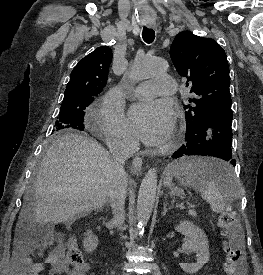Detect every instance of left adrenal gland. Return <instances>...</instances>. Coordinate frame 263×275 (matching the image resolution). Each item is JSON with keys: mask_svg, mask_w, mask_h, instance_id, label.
<instances>
[{"mask_svg": "<svg viewBox=\"0 0 263 275\" xmlns=\"http://www.w3.org/2000/svg\"><path fill=\"white\" fill-rule=\"evenodd\" d=\"M170 208L171 207L167 208V203H165L164 206H163V213H162V215L165 216L166 213H167V211H168V209H170Z\"/></svg>", "mask_w": 263, "mask_h": 275, "instance_id": "obj_1", "label": "left adrenal gland"}]
</instances>
